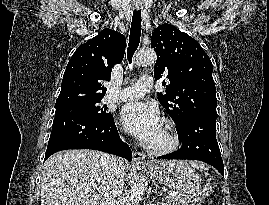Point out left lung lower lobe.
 Returning <instances> with one entry per match:
<instances>
[{
  "label": "left lung lower lobe",
  "instance_id": "1",
  "mask_svg": "<svg viewBox=\"0 0 269 205\" xmlns=\"http://www.w3.org/2000/svg\"><path fill=\"white\" fill-rule=\"evenodd\" d=\"M181 148L158 159L200 160L215 167L224 175L223 160L216 140V116L203 115L189 120L177 131Z\"/></svg>",
  "mask_w": 269,
  "mask_h": 205
}]
</instances>
